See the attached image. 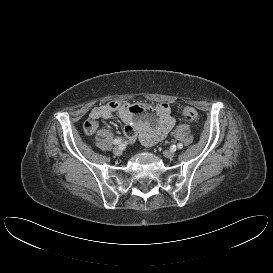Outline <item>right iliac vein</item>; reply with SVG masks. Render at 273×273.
<instances>
[{"label":"right iliac vein","mask_w":273,"mask_h":273,"mask_svg":"<svg viewBox=\"0 0 273 273\" xmlns=\"http://www.w3.org/2000/svg\"><path fill=\"white\" fill-rule=\"evenodd\" d=\"M113 154L116 156H120L122 154V147L118 146L113 149Z\"/></svg>","instance_id":"right-iliac-vein-1"}]
</instances>
